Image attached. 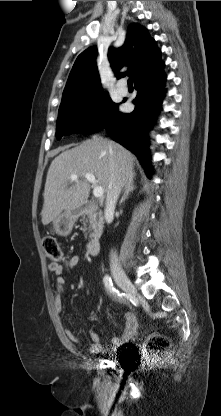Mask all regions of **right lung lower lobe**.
Instances as JSON below:
<instances>
[{"instance_id":"98d812e1","label":"right lung lower lobe","mask_w":221,"mask_h":416,"mask_svg":"<svg viewBox=\"0 0 221 416\" xmlns=\"http://www.w3.org/2000/svg\"><path fill=\"white\" fill-rule=\"evenodd\" d=\"M166 75L163 68L135 81L137 96L132 101L135 109L129 114L116 109L104 128L111 138L133 152L151 177L147 131L161 108L165 95ZM151 116V117H150Z\"/></svg>"}]
</instances>
